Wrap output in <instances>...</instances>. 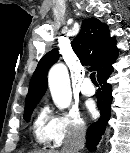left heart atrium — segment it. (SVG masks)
<instances>
[{"instance_id":"1","label":"left heart atrium","mask_w":130,"mask_h":153,"mask_svg":"<svg viewBox=\"0 0 130 153\" xmlns=\"http://www.w3.org/2000/svg\"><path fill=\"white\" fill-rule=\"evenodd\" d=\"M86 107H87V110L89 113H91V114L95 113V106L92 102H88Z\"/></svg>"}]
</instances>
